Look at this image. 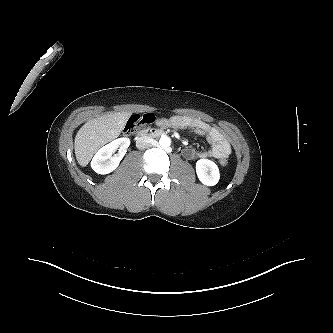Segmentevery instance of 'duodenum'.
Instances as JSON below:
<instances>
[{
  "label": "duodenum",
  "mask_w": 333,
  "mask_h": 333,
  "mask_svg": "<svg viewBox=\"0 0 333 333\" xmlns=\"http://www.w3.org/2000/svg\"><path fill=\"white\" fill-rule=\"evenodd\" d=\"M164 135L162 130L158 129H144L136 133L137 144H142L143 142Z\"/></svg>",
  "instance_id": "1"
}]
</instances>
